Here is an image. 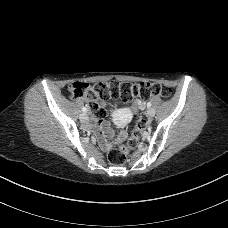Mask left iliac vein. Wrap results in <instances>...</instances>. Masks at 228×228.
Returning <instances> with one entry per match:
<instances>
[{
    "instance_id": "4c4485c4",
    "label": "left iliac vein",
    "mask_w": 228,
    "mask_h": 228,
    "mask_svg": "<svg viewBox=\"0 0 228 228\" xmlns=\"http://www.w3.org/2000/svg\"><path fill=\"white\" fill-rule=\"evenodd\" d=\"M154 115H155V110L152 109V108H149V109L147 110V116H148L149 118H152V117H154Z\"/></svg>"
}]
</instances>
